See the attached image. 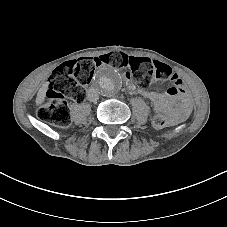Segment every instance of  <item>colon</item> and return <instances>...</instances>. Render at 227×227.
Returning <instances> with one entry per match:
<instances>
[{"label": "colon", "mask_w": 227, "mask_h": 227, "mask_svg": "<svg viewBox=\"0 0 227 227\" xmlns=\"http://www.w3.org/2000/svg\"><path fill=\"white\" fill-rule=\"evenodd\" d=\"M102 65L123 70L142 88L154 83H170L169 95L177 96L184 92L182 80L168 65L148 58L111 52L97 58L86 57L68 61L57 67L48 80L46 100L38 109L39 118L59 128L69 127L71 115L66 99L82 102L94 70ZM152 125L156 129H162L168 125V120L162 114H155Z\"/></svg>", "instance_id": "obj_1"}]
</instances>
